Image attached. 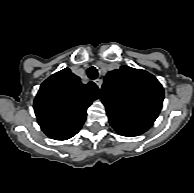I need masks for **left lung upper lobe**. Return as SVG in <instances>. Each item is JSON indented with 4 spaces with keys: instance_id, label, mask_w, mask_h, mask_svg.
I'll use <instances>...</instances> for the list:
<instances>
[{
    "instance_id": "left-lung-upper-lobe-1",
    "label": "left lung upper lobe",
    "mask_w": 194,
    "mask_h": 193,
    "mask_svg": "<svg viewBox=\"0 0 194 193\" xmlns=\"http://www.w3.org/2000/svg\"><path fill=\"white\" fill-rule=\"evenodd\" d=\"M107 115L150 128L162 108L164 90L155 76L121 66L108 72L101 91Z\"/></svg>"
}]
</instances>
